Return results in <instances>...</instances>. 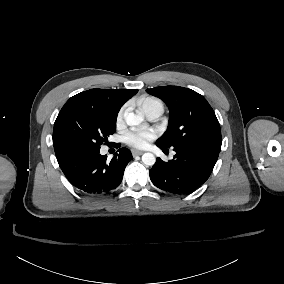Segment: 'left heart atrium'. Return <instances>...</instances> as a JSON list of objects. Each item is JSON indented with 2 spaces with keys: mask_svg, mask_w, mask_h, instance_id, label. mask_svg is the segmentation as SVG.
I'll return each instance as SVG.
<instances>
[{
  "mask_svg": "<svg viewBox=\"0 0 284 284\" xmlns=\"http://www.w3.org/2000/svg\"><path fill=\"white\" fill-rule=\"evenodd\" d=\"M154 136L155 134L152 130L133 129L127 132L125 139L129 145L143 148L153 140Z\"/></svg>",
  "mask_w": 284,
  "mask_h": 284,
  "instance_id": "1",
  "label": "left heart atrium"
}]
</instances>
